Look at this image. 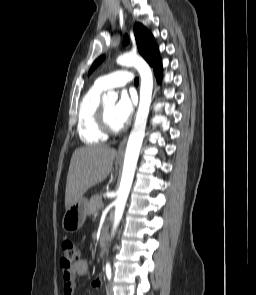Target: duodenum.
<instances>
[{
    "label": "duodenum",
    "instance_id": "duodenum-1",
    "mask_svg": "<svg viewBox=\"0 0 256 295\" xmlns=\"http://www.w3.org/2000/svg\"><path fill=\"white\" fill-rule=\"evenodd\" d=\"M107 232H108V228L107 226H103L101 231H100V236H99V245L100 246H104L107 240Z\"/></svg>",
    "mask_w": 256,
    "mask_h": 295
}]
</instances>
